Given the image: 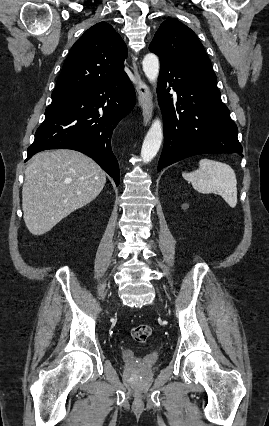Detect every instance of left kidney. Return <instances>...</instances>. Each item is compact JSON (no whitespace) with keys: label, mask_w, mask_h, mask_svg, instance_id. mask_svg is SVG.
<instances>
[{"label":"left kidney","mask_w":269,"mask_h":426,"mask_svg":"<svg viewBox=\"0 0 269 426\" xmlns=\"http://www.w3.org/2000/svg\"><path fill=\"white\" fill-rule=\"evenodd\" d=\"M188 208H189V205H188V204H183V205H182V209H183V210H187Z\"/></svg>","instance_id":"obj_1"}]
</instances>
